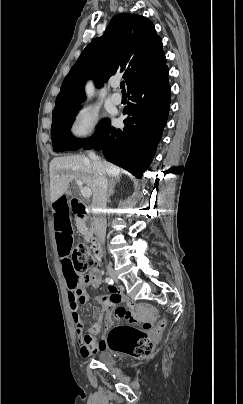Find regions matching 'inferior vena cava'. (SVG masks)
Returning <instances> with one entry per match:
<instances>
[{"mask_svg": "<svg viewBox=\"0 0 243 404\" xmlns=\"http://www.w3.org/2000/svg\"><path fill=\"white\" fill-rule=\"evenodd\" d=\"M93 164V200H92V214L94 218V226L96 236L104 244L106 236V202H107V176L105 174L104 166L99 158L95 156L94 152L88 154ZM107 272L112 274L114 269L110 264L106 265Z\"/></svg>", "mask_w": 243, "mask_h": 404, "instance_id": "602c4592", "label": "inferior vena cava"}]
</instances>
